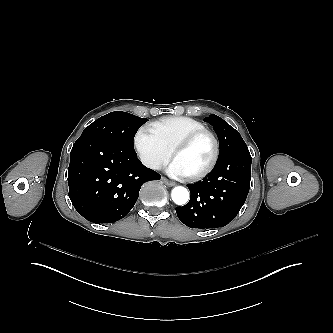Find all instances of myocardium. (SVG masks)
Listing matches in <instances>:
<instances>
[{"label": "myocardium", "mask_w": 333, "mask_h": 333, "mask_svg": "<svg viewBox=\"0 0 333 333\" xmlns=\"http://www.w3.org/2000/svg\"><path fill=\"white\" fill-rule=\"evenodd\" d=\"M203 135H208L211 138V140L213 142V146H214L213 155H212L210 161L203 168H201L199 171H197L196 173H194L192 175L186 176L185 180H187V181H196V180L204 177L205 175H207L215 167V165L219 159V156H220L219 140L212 131H210L208 129H201V130H196L194 132L187 134L182 139H180L171 149L170 159L177 152L187 148L188 146H190L193 142H195L198 138H200Z\"/></svg>", "instance_id": "f54148a6"}]
</instances>
